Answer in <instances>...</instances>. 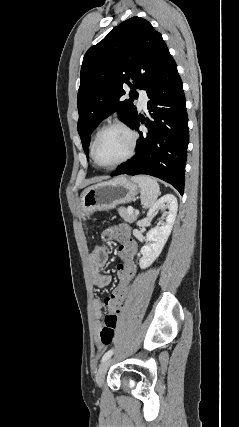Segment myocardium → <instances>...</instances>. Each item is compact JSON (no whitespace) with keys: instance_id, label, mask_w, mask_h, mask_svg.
Instances as JSON below:
<instances>
[{"instance_id":"f54148a6","label":"myocardium","mask_w":239,"mask_h":427,"mask_svg":"<svg viewBox=\"0 0 239 427\" xmlns=\"http://www.w3.org/2000/svg\"><path fill=\"white\" fill-rule=\"evenodd\" d=\"M114 128L122 129L129 135V137H130V148H129L128 153L118 162L111 164V165H103V164L99 163L98 160L96 159V155H95L96 146H97L101 136L106 131H108L110 129H114ZM137 143H138L137 132L130 125H128L126 122L116 120V121H113V122L103 126L97 132V134L93 140V143L91 145V149H90L91 158H92L93 162L100 168H103L106 170L114 169V168H117V167L121 166L122 164L126 163L127 161H129L134 156L136 148H137Z\"/></svg>"}]
</instances>
